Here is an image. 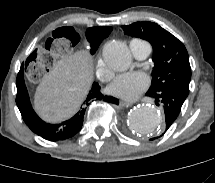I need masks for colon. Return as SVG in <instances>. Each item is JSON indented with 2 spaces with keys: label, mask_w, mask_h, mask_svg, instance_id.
Listing matches in <instances>:
<instances>
[{
  "label": "colon",
  "mask_w": 215,
  "mask_h": 183,
  "mask_svg": "<svg viewBox=\"0 0 215 183\" xmlns=\"http://www.w3.org/2000/svg\"><path fill=\"white\" fill-rule=\"evenodd\" d=\"M81 31L71 25L63 26L48 37L37 42L24 62V73L31 80H42L50 72L56 61L82 44Z\"/></svg>",
  "instance_id": "1"
}]
</instances>
